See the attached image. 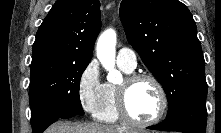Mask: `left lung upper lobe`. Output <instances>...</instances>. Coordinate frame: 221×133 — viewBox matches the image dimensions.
I'll return each mask as SVG.
<instances>
[{
  "mask_svg": "<svg viewBox=\"0 0 221 133\" xmlns=\"http://www.w3.org/2000/svg\"><path fill=\"white\" fill-rule=\"evenodd\" d=\"M120 18L129 43L163 86L169 117L206 98L205 61L195 21L178 0H123Z\"/></svg>",
  "mask_w": 221,
  "mask_h": 133,
  "instance_id": "5c2ea615",
  "label": "left lung upper lobe"
}]
</instances>
